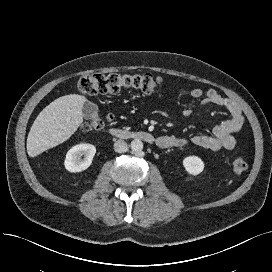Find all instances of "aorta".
<instances>
[{
	"mask_svg": "<svg viewBox=\"0 0 272 272\" xmlns=\"http://www.w3.org/2000/svg\"><path fill=\"white\" fill-rule=\"evenodd\" d=\"M130 147L134 153H139L143 149V142L140 139L131 141Z\"/></svg>",
	"mask_w": 272,
	"mask_h": 272,
	"instance_id": "1",
	"label": "aorta"
}]
</instances>
